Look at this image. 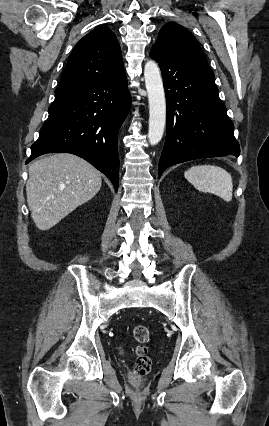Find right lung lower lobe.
Masks as SVG:
<instances>
[{"label": "right lung lower lobe", "mask_w": 269, "mask_h": 426, "mask_svg": "<svg viewBox=\"0 0 269 426\" xmlns=\"http://www.w3.org/2000/svg\"><path fill=\"white\" fill-rule=\"evenodd\" d=\"M131 107L125 72L55 91L49 116L26 163L45 153H72L105 174L118 190L117 135Z\"/></svg>", "instance_id": "right-lung-lower-lobe-1"}]
</instances>
